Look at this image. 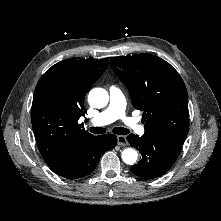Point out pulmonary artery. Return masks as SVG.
<instances>
[{"instance_id":"pulmonary-artery-1","label":"pulmonary artery","mask_w":221,"mask_h":221,"mask_svg":"<svg viewBox=\"0 0 221 221\" xmlns=\"http://www.w3.org/2000/svg\"><path fill=\"white\" fill-rule=\"evenodd\" d=\"M109 97L110 102L108 107L91 119V124L94 126H104L117 119H122L130 129L139 135H143L145 133L144 127L135 118L126 116V102L122 91L116 86H111Z\"/></svg>"}]
</instances>
